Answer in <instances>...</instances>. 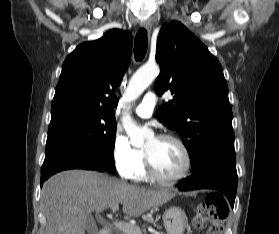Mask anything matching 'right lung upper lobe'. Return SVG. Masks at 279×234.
Instances as JSON below:
<instances>
[{"instance_id": "obj_1", "label": "right lung upper lobe", "mask_w": 279, "mask_h": 234, "mask_svg": "<svg viewBox=\"0 0 279 234\" xmlns=\"http://www.w3.org/2000/svg\"><path fill=\"white\" fill-rule=\"evenodd\" d=\"M131 53L132 36L120 29H111L101 38L77 46L63 63L51 112L81 109L113 114L114 91L127 70Z\"/></svg>"}]
</instances>
